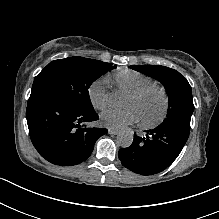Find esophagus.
I'll list each match as a JSON object with an SVG mask.
<instances>
[{"label": "esophagus", "instance_id": "obj_1", "mask_svg": "<svg viewBox=\"0 0 219 219\" xmlns=\"http://www.w3.org/2000/svg\"><path fill=\"white\" fill-rule=\"evenodd\" d=\"M108 133L111 134V135H117L119 133V131L118 130H114V129H109Z\"/></svg>", "mask_w": 219, "mask_h": 219}]
</instances>
